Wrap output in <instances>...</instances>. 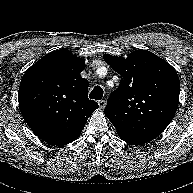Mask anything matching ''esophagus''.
Wrapping results in <instances>:
<instances>
[{"label": "esophagus", "instance_id": "esophagus-1", "mask_svg": "<svg viewBox=\"0 0 193 193\" xmlns=\"http://www.w3.org/2000/svg\"><path fill=\"white\" fill-rule=\"evenodd\" d=\"M98 105H99L100 109H104V108H105V105H106L105 100H100V101L98 102Z\"/></svg>", "mask_w": 193, "mask_h": 193}]
</instances>
